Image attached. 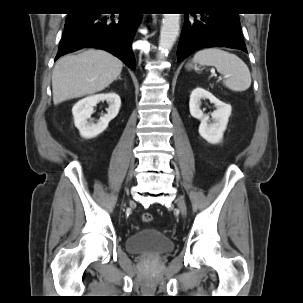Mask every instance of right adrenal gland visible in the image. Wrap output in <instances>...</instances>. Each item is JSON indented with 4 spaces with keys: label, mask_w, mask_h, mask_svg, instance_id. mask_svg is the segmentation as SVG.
Masks as SVG:
<instances>
[{
    "label": "right adrenal gland",
    "mask_w": 303,
    "mask_h": 303,
    "mask_svg": "<svg viewBox=\"0 0 303 303\" xmlns=\"http://www.w3.org/2000/svg\"><path fill=\"white\" fill-rule=\"evenodd\" d=\"M118 79H120V80H121V76H119V77H118Z\"/></svg>",
    "instance_id": "obj_1"
}]
</instances>
